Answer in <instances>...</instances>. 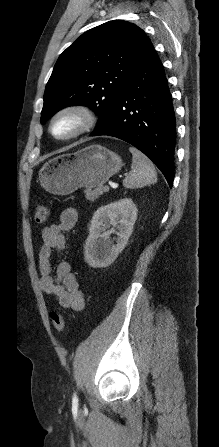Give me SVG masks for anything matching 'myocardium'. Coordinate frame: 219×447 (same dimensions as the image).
<instances>
[{
    "label": "myocardium",
    "instance_id": "obj_1",
    "mask_svg": "<svg viewBox=\"0 0 219 447\" xmlns=\"http://www.w3.org/2000/svg\"><path fill=\"white\" fill-rule=\"evenodd\" d=\"M74 117L77 120L76 127L65 135H56L53 131L55 122L62 117ZM98 121L97 113L86 105L73 104L65 106L55 112L49 120L48 131L57 140L75 139L95 127Z\"/></svg>",
    "mask_w": 219,
    "mask_h": 447
}]
</instances>
